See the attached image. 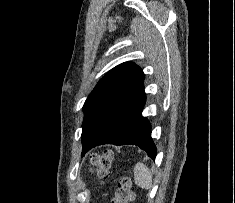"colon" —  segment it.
<instances>
[{"mask_svg": "<svg viewBox=\"0 0 235 203\" xmlns=\"http://www.w3.org/2000/svg\"><path fill=\"white\" fill-rule=\"evenodd\" d=\"M113 158V153L110 151L101 154H94L91 158V163L94 166L96 176L105 181L108 178L109 166ZM135 199L133 191V183L129 177H122L118 183L115 197L111 203H131Z\"/></svg>", "mask_w": 235, "mask_h": 203, "instance_id": "obj_1", "label": "colon"}]
</instances>
